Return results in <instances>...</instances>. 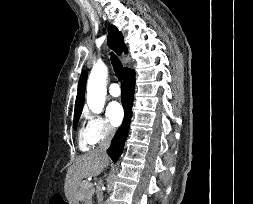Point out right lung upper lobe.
Masks as SVG:
<instances>
[{
    "label": "right lung upper lobe",
    "instance_id": "cb5924a9",
    "mask_svg": "<svg viewBox=\"0 0 253 204\" xmlns=\"http://www.w3.org/2000/svg\"><path fill=\"white\" fill-rule=\"evenodd\" d=\"M108 44L118 55H120L123 51L124 53H127V48L123 42L122 33L119 32L118 29L113 25H110L108 28ZM127 70L128 68H124V72ZM86 80L87 73L86 71H83L78 82V93L76 97L74 117L79 114L81 115L82 112Z\"/></svg>",
    "mask_w": 253,
    "mask_h": 204
}]
</instances>
